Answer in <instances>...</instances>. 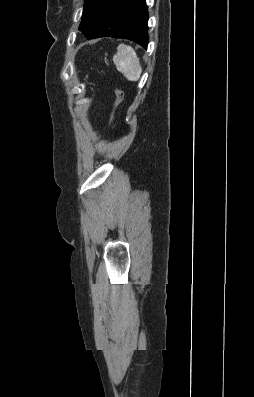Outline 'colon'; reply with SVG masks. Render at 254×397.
Returning <instances> with one entry per match:
<instances>
[{
  "instance_id": "5ec220e1",
  "label": "colon",
  "mask_w": 254,
  "mask_h": 397,
  "mask_svg": "<svg viewBox=\"0 0 254 397\" xmlns=\"http://www.w3.org/2000/svg\"><path fill=\"white\" fill-rule=\"evenodd\" d=\"M122 99H123V92L119 88H116L115 89V101L113 103V107H112V110L110 113L109 122H108L109 124H111L113 122L114 117H115L116 108L122 102Z\"/></svg>"
}]
</instances>
